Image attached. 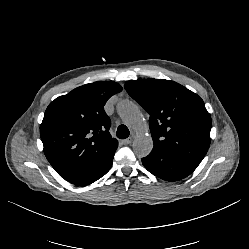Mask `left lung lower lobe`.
I'll return each instance as SVG.
<instances>
[{
	"label": "left lung lower lobe",
	"instance_id": "obj_1",
	"mask_svg": "<svg viewBox=\"0 0 249 249\" xmlns=\"http://www.w3.org/2000/svg\"><path fill=\"white\" fill-rule=\"evenodd\" d=\"M144 167L155 176L166 181H178L190 175L200 162L152 150L142 159Z\"/></svg>",
	"mask_w": 249,
	"mask_h": 249
}]
</instances>
